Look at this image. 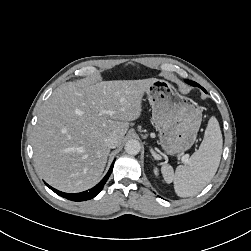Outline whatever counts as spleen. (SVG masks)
Instances as JSON below:
<instances>
[{"label":"spleen","mask_w":251,"mask_h":251,"mask_svg":"<svg viewBox=\"0 0 251 251\" xmlns=\"http://www.w3.org/2000/svg\"><path fill=\"white\" fill-rule=\"evenodd\" d=\"M222 133L215 117H211L205 130L203 141L187 165H180L174 172L171 165L161 168L164 180L174 183L179 197H190L198 194L214 177L222 154Z\"/></svg>","instance_id":"3e777b00"}]
</instances>
